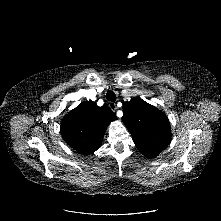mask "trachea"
<instances>
[{"instance_id":"1","label":"trachea","mask_w":221,"mask_h":221,"mask_svg":"<svg viewBox=\"0 0 221 221\" xmlns=\"http://www.w3.org/2000/svg\"><path fill=\"white\" fill-rule=\"evenodd\" d=\"M106 99H107L108 101L114 102V101L116 100V94H115L113 91L109 90V91L106 93Z\"/></svg>"}]
</instances>
